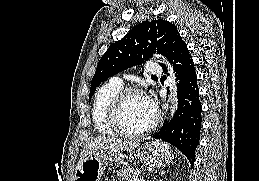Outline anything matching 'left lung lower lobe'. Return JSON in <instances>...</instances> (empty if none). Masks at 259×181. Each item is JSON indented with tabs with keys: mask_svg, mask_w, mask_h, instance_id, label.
Segmentation results:
<instances>
[{
	"mask_svg": "<svg viewBox=\"0 0 259 181\" xmlns=\"http://www.w3.org/2000/svg\"><path fill=\"white\" fill-rule=\"evenodd\" d=\"M167 58L173 64L176 80H178V110L173 119L167 124L164 123L161 129L153 135V138L161 139L175 146L193 166L202 120L197 75L187 45L181 38L172 47ZM161 66L167 72L166 66Z\"/></svg>",
	"mask_w": 259,
	"mask_h": 181,
	"instance_id": "1",
	"label": "left lung lower lobe"
}]
</instances>
